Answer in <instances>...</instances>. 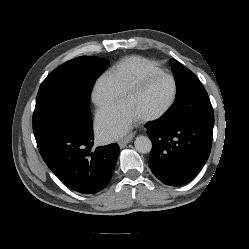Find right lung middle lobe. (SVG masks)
<instances>
[{"label": "right lung middle lobe", "instance_id": "1", "mask_svg": "<svg viewBox=\"0 0 249 249\" xmlns=\"http://www.w3.org/2000/svg\"><path fill=\"white\" fill-rule=\"evenodd\" d=\"M108 65L104 58L81 56L60 65L48 75L37 94L33 131L51 121L91 119V90Z\"/></svg>", "mask_w": 249, "mask_h": 249}]
</instances>
